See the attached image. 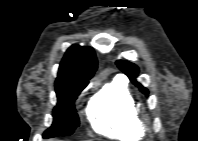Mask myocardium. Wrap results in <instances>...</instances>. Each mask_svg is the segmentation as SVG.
I'll return each mask as SVG.
<instances>
[{
	"label": "myocardium",
	"instance_id": "myocardium-1",
	"mask_svg": "<svg viewBox=\"0 0 198 141\" xmlns=\"http://www.w3.org/2000/svg\"><path fill=\"white\" fill-rule=\"evenodd\" d=\"M136 122H137L138 129L142 134L149 132L150 122L147 117L141 116L139 115V113H137Z\"/></svg>",
	"mask_w": 198,
	"mask_h": 141
}]
</instances>
